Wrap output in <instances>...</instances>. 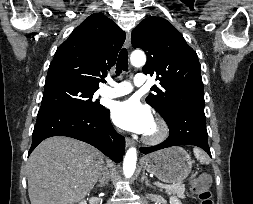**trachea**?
I'll list each match as a JSON object with an SVG mask.
<instances>
[{
	"label": "trachea",
	"mask_w": 253,
	"mask_h": 204,
	"mask_svg": "<svg viewBox=\"0 0 253 204\" xmlns=\"http://www.w3.org/2000/svg\"><path fill=\"white\" fill-rule=\"evenodd\" d=\"M128 70V52L127 49L123 48L118 56L116 74L119 75L122 71Z\"/></svg>",
	"instance_id": "obj_1"
}]
</instances>
